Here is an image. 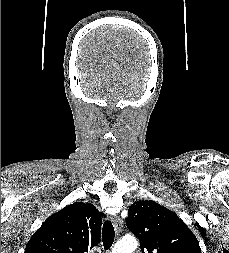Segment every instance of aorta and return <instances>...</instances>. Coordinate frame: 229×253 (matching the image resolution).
Segmentation results:
<instances>
[{
    "label": "aorta",
    "mask_w": 229,
    "mask_h": 253,
    "mask_svg": "<svg viewBox=\"0 0 229 253\" xmlns=\"http://www.w3.org/2000/svg\"><path fill=\"white\" fill-rule=\"evenodd\" d=\"M137 245L135 238H123L115 244L111 253H133Z\"/></svg>",
    "instance_id": "762f6f07"
}]
</instances>
